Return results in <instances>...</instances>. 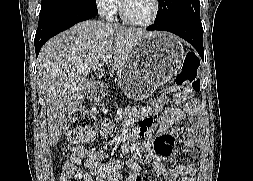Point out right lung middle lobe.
I'll list each match as a JSON object with an SVG mask.
<instances>
[{
	"mask_svg": "<svg viewBox=\"0 0 253 181\" xmlns=\"http://www.w3.org/2000/svg\"><path fill=\"white\" fill-rule=\"evenodd\" d=\"M70 9L98 12L95 0H42L39 20Z\"/></svg>",
	"mask_w": 253,
	"mask_h": 181,
	"instance_id": "right-lung-middle-lobe-1",
	"label": "right lung middle lobe"
}]
</instances>
